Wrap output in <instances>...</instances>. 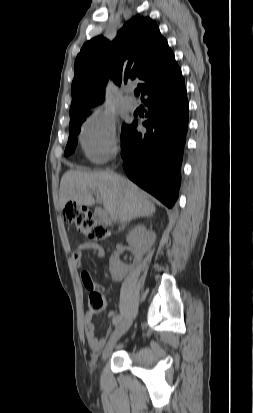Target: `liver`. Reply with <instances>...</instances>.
<instances>
[{
    "mask_svg": "<svg viewBox=\"0 0 253 413\" xmlns=\"http://www.w3.org/2000/svg\"><path fill=\"white\" fill-rule=\"evenodd\" d=\"M100 192L106 212L113 220L127 222L139 217L151 216L155 206L150 197L129 179L107 172L88 173L80 170L66 172L60 182L59 206L61 209L69 201L79 205L94 204L92 191Z\"/></svg>",
    "mask_w": 253,
    "mask_h": 413,
    "instance_id": "6515ba94",
    "label": "liver"
}]
</instances>
